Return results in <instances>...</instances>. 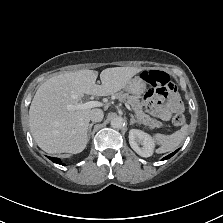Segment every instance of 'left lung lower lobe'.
Wrapping results in <instances>:
<instances>
[{
    "label": "left lung lower lobe",
    "instance_id": "left-lung-lower-lobe-1",
    "mask_svg": "<svg viewBox=\"0 0 223 223\" xmlns=\"http://www.w3.org/2000/svg\"><path fill=\"white\" fill-rule=\"evenodd\" d=\"M178 150H176L175 152H173V153L169 154L168 156L164 157L162 160H166V159L171 158Z\"/></svg>",
    "mask_w": 223,
    "mask_h": 223
}]
</instances>
